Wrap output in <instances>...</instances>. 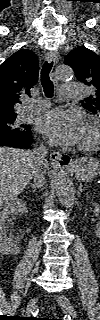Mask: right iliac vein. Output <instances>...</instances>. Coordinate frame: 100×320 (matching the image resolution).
<instances>
[{
	"label": "right iliac vein",
	"mask_w": 100,
	"mask_h": 320,
	"mask_svg": "<svg viewBox=\"0 0 100 320\" xmlns=\"http://www.w3.org/2000/svg\"><path fill=\"white\" fill-rule=\"evenodd\" d=\"M36 302H37V298L34 297L32 298L28 304H27V308H26V314L29 315L36 307Z\"/></svg>",
	"instance_id": "right-iliac-vein-1"
}]
</instances>
